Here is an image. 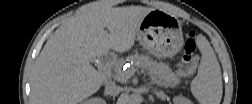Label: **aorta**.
Segmentation results:
<instances>
[{"mask_svg":"<svg viewBox=\"0 0 252 104\" xmlns=\"http://www.w3.org/2000/svg\"><path fill=\"white\" fill-rule=\"evenodd\" d=\"M126 102L129 104H139L141 102V96L139 94L127 95Z\"/></svg>","mask_w":252,"mask_h":104,"instance_id":"1","label":"aorta"}]
</instances>
